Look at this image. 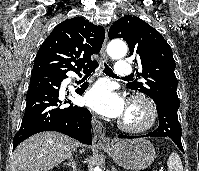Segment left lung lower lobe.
I'll return each instance as SVG.
<instances>
[{"label": "left lung lower lobe", "instance_id": "left-lung-lower-lobe-1", "mask_svg": "<svg viewBox=\"0 0 199 171\" xmlns=\"http://www.w3.org/2000/svg\"><path fill=\"white\" fill-rule=\"evenodd\" d=\"M177 106L169 104H157L159 116V126L153 132L144 136L149 137H168L177 144L178 148L184 152L181 143V126L178 121ZM119 138H137L139 136L118 135Z\"/></svg>", "mask_w": 199, "mask_h": 171}]
</instances>
